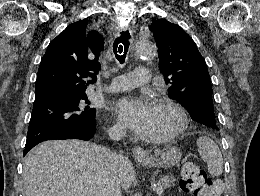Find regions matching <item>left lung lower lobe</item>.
<instances>
[{"instance_id":"obj_1","label":"left lung lower lobe","mask_w":260,"mask_h":196,"mask_svg":"<svg viewBox=\"0 0 260 196\" xmlns=\"http://www.w3.org/2000/svg\"><path fill=\"white\" fill-rule=\"evenodd\" d=\"M192 119L203 125H210L215 121L213 107L200 106L195 107L190 113Z\"/></svg>"}]
</instances>
